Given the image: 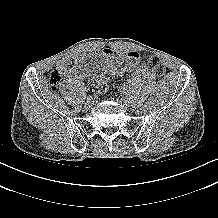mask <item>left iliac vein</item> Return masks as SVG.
<instances>
[{
    "label": "left iliac vein",
    "mask_w": 218,
    "mask_h": 218,
    "mask_svg": "<svg viewBox=\"0 0 218 218\" xmlns=\"http://www.w3.org/2000/svg\"><path fill=\"white\" fill-rule=\"evenodd\" d=\"M120 102L125 106L129 107L131 104V100L128 97H121Z\"/></svg>",
    "instance_id": "1"
}]
</instances>
